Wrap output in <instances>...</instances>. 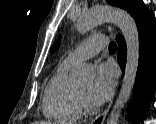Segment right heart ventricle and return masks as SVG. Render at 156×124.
Returning a JSON list of instances; mask_svg holds the SVG:
<instances>
[{"instance_id": "right-heart-ventricle-1", "label": "right heart ventricle", "mask_w": 156, "mask_h": 124, "mask_svg": "<svg viewBox=\"0 0 156 124\" xmlns=\"http://www.w3.org/2000/svg\"><path fill=\"white\" fill-rule=\"evenodd\" d=\"M71 66L62 62L43 94L44 116L61 124L75 123L83 112L78 86L67 75Z\"/></svg>"}]
</instances>
